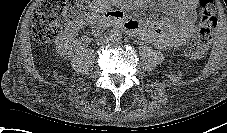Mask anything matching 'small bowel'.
I'll use <instances>...</instances> for the list:
<instances>
[{"label": "small bowel", "mask_w": 227, "mask_h": 133, "mask_svg": "<svg viewBox=\"0 0 227 133\" xmlns=\"http://www.w3.org/2000/svg\"><path fill=\"white\" fill-rule=\"evenodd\" d=\"M162 9L175 17L174 23L169 18H161L157 22H143L129 19L133 33L153 43L160 49L181 46L194 32L197 19L198 0H159ZM120 14L123 12L116 11Z\"/></svg>", "instance_id": "small-bowel-1"}]
</instances>
